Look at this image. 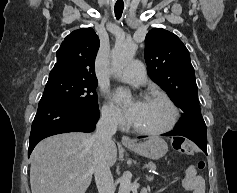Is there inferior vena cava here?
Wrapping results in <instances>:
<instances>
[{
	"label": "inferior vena cava",
	"instance_id": "602c4592",
	"mask_svg": "<svg viewBox=\"0 0 237 193\" xmlns=\"http://www.w3.org/2000/svg\"><path fill=\"white\" fill-rule=\"evenodd\" d=\"M118 117L113 112H103L92 135L94 142V175L99 193H114L115 186L108 163L112 136L116 133Z\"/></svg>",
	"mask_w": 237,
	"mask_h": 193
}]
</instances>
